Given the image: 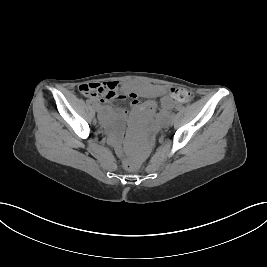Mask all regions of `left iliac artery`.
Returning <instances> with one entry per match:
<instances>
[{
	"mask_svg": "<svg viewBox=\"0 0 267 267\" xmlns=\"http://www.w3.org/2000/svg\"><path fill=\"white\" fill-rule=\"evenodd\" d=\"M174 116H175V114H174V113H171V114L168 116V118H169V119H172V118H174Z\"/></svg>",
	"mask_w": 267,
	"mask_h": 267,
	"instance_id": "left-iliac-artery-1",
	"label": "left iliac artery"
}]
</instances>
